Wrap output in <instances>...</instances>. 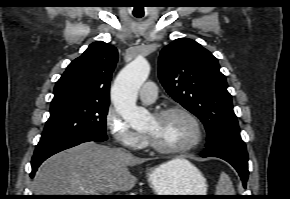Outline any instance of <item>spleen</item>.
Instances as JSON below:
<instances>
[{
  "label": "spleen",
  "instance_id": "3e777b00",
  "mask_svg": "<svg viewBox=\"0 0 290 199\" xmlns=\"http://www.w3.org/2000/svg\"><path fill=\"white\" fill-rule=\"evenodd\" d=\"M234 188L229 176L222 172L216 186V195H235Z\"/></svg>",
  "mask_w": 290,
  "mask_h": 199
}]
</instances>
